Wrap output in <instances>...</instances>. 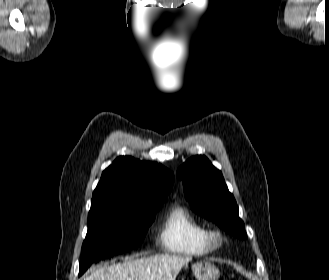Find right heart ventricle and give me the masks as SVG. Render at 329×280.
Returning <instances> with one entry per match:
<instances>
[{"mask_svg": "<svg viewBox=\"0 0 329 280\" xmlns=\"http://www.w3.org/2000/svg\"><path fill=\"white\" fill-rule=\"evenodd\" d=\"M160 243L165 251L185 256H203L213 250L207 239L206 225L178 204L169 210L164 220Z\"/></svg>", "mask_w": 329, "mask_h": 280, "instance_id": "1", "label": "right heart ventricle"}]
</instances>
